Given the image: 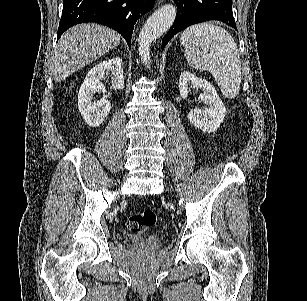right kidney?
<instances>
[{"instance_id": "obj_1", "label": "right kidney", "mask_w": 307, "mask_h": 301, "mask_svg": "<svg viewBox=\"0 0 307 301\" xmlns=\"http://www.w3.org/2000/svg\"><path fill=\"white\" fill-rule=\"evenodd\" d=\"M112 74L111 88H124L125 76L123 72V60L120 56H113L98 62L86 74L78 92V108L88 126H100L108 112L112 108L111 100L100 98L93 102L94 92H106V86L101 82L106 74Z\"/></svg>"}]
</instances>
